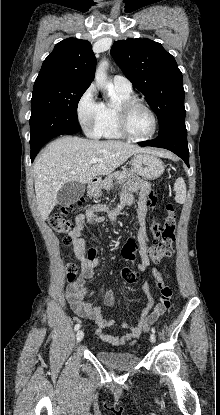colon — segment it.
<instances>
[{
    "mask_svg": "<svg viewBox=\"0 0 220 415\" xmlns=\"http://www.w3.org/2000/svg\"><path fill=\"white\" fill-rule=\"evenodd\" d=\"M150 203L153 205L157 200V194L150 192L148 195ZM80 205V202L77 203ZM75 205H65L58 209L49 220L50 227L58 234L66 235L64 243L70 245L72 239L70 232L73 229V223L67 217ZM177 228V220L175 210L172 205H167L165 208V218L161 224L152 223L151 233L156 239L155 244L147 249V254L150 260L155 264H159L163 259L168 258L173 252V243L175 241V234ZM122 256L127 261H134L137 257V244L134 239H128L122 248ZM77 267L74 264L67 266V280L73 282L76 276ZM122 279L125 283H133L136 279V271L132 267H125L122 270ZM157 288L159 290V302L155 307L158 314H163L170 309L172 304V289L167 285L162 276L156 280Z\"/></svg>",
    "mask_w": 220,
    "mask_h": 415,
    "instance_id": "colon-1",
    "label": "colon"
}]
</instances>
